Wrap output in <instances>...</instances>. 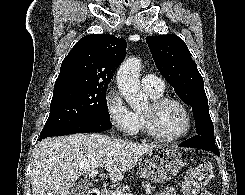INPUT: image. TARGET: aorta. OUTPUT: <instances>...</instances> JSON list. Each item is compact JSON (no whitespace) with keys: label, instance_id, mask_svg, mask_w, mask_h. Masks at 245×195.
I'll return each mask as SVG.
<instances>
[{"label":"aorta","instance_id":"aorta-1","mask_svg":"<svg viewBox=\"0 0 245 195\" xmlns=\"http://www.w3.org/2000/svg\"><path fill=\"white\" fill-rule=\"evenodd\" d=\"M141 62L132 57L125 60L117 72V84L121 95L133 109H140L147 103L140 88Z\"/></svg>","mask_w":245,"mask_h":195}]
</instances>
